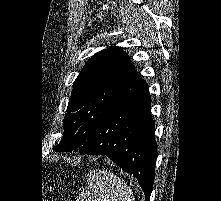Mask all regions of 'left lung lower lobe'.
Returning a JSON list of instances; mask_svg holds the SVG:
<instances>
[{"label":"left lung lower lobe","mask_w":221,"mask_h":201,"mask_svg":"<svg viewBox=\"0 0 221 201\" xmlns=\"http://www.w3.org/2000/svg\"><path fill=\"white\" fill-rule=\"evenodd\" d=\"M151 97L145 83L116 104L93 131L79 152L106 155L133 174L150 201L154 183L157 144L151 117Z\"/></svg>","instance_id":"obj_1"}]
</instances>
